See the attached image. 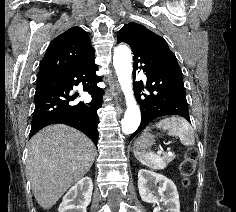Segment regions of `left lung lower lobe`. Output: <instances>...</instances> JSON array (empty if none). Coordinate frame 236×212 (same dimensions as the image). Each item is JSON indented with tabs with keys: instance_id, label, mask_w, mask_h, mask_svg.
<instances>
[{
	"instance_id": "1",
	"label": "left lung lower lobe",
	"mask_w": 236,
	"mask_h": 212,
	"mask_svg": "<svg viewBox=\"0 0 236 212\" xmlns=\"http://www.w3.org/2000/svg\"><path fill=\"white\" fill-rule=\"evenodd\" d=\"M117 43L125 42L134 54V73L142 70L147 76L146 86L134 83V92L141 107V123L130 140L152 120L179 115L190 122L183 74L172 51L159 42L140 41L127 34H119ZM144 88L148 93H140Z\"/></svg>"
}]
</instances>
